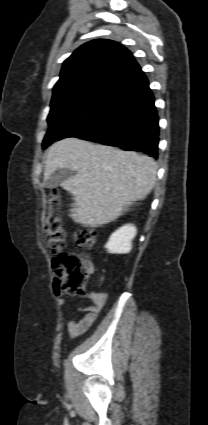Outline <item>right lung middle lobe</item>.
Here are the masks:
<instances>
[{
	"label": "right lung middle lobe",
	"mask_w": 208,
	"mask_h": 425,
	"mask_svg": "<svg viewBox=\"0 0 208 425\" xmlns=\"http://www.w3.org/2000/svg\"><path fill=\"white\" fill-rule=\"evenodd\" d=\"M102 90H82L71 94H68L55 101H51V110L48 115V123L51 127L52 124L59 119L61 116L76 111L79 108L89 104L91 101L96 99ZM52 143L49 136H45L43 141V148L48 147Z\"/></svg>",
	"instance_id": "1"
}]
</instances>
